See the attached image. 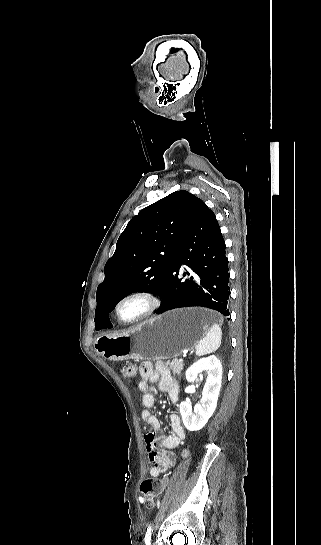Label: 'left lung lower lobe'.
<instances>
[{"label":"left lung lower lobe","instance_id":"1","mask_svg":"<svg viewBox=\"0 0 321 545\" xmlns=\"http://www.w3.org/2000/svg\"><path fill=\"white\" fill-rule=\"evenodd\" d=\"M225 248L215 214L204 202L199 203L177 245L165 283L157 293L162 297V304L156 313L201 306L229 316V269ZM181 264L188 265L194 275L185 280L179 278ZM105 328H112L111 323Z\"/></svg>","mask_w":321,"mask_h":545}]
</instances>
